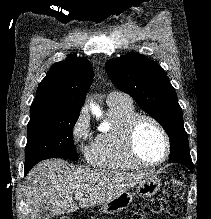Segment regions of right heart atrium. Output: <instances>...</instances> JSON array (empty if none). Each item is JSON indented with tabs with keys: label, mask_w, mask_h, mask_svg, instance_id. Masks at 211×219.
<instances>
[{
	"label": "right heart atrium",
	"mask_w": 211,
	"mask_h": 219,
	"mask_svg": "<svg viewBox=\"0 0 211 219\" xmlns=\"http://www.w3.org/2000/svg\"><path fill=\"white\" fill-rule=\"evenodd\" d=\"M89 118L81 112L74 120L71 126V139L75 144H80L86 141L89 137Z\"/></svg>",
	"instance_id": "d8ad5b80"
}]
</instances>
